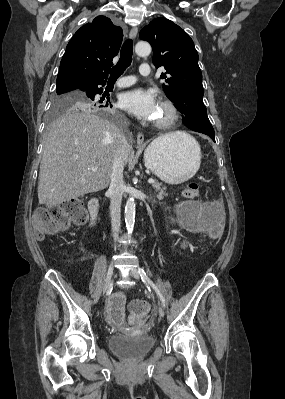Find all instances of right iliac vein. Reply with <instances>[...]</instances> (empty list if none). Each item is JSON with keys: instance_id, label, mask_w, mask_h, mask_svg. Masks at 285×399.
<instances>
[{"instance_id": "63e3f726", "label": "right iliac vein", "mask_w": 285, "mask_h": 399, "mask_svg": "<svg viewBox=\"0 0 285 399\" xmlns=\"http://www.w3.org/2000/svg\"><path fill=\"white\" fill-rule=\"evenodd\" d=\"M113 271H114V260H111L105 280H104V284L100 293V298H102V296L109 290L110 285H111V279L113 276Z\"/></svg>"}]
</instances>
